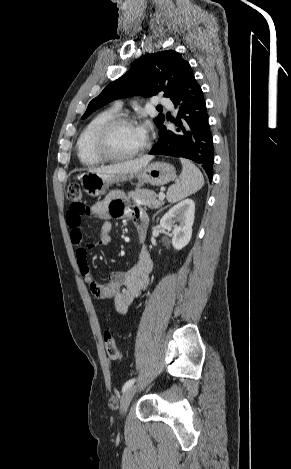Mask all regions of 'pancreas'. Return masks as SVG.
<instances>
[{
	"mask_svg": "<svg viewBox=\"0 0 291 469\" xmlns=\"http://www.w3.org/2000/svg\"><path fill=\"white\" fill-rule=\"evenodd\" d=\"M128 200H132L134 204H140L149 208L158 209L164 205L163 200H158L154 191L148 189H135L128 192Z\"/></svg>",
	"mask_w": 291,
	"mask_h": 469,
	"instance_id": "cf45deb5",
	"label": "pancreas"
}]
</instances>
